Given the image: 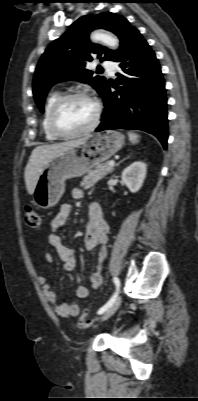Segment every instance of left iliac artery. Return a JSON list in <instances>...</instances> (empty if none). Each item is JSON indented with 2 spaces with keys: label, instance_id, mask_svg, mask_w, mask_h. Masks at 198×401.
Here are the masks:
<instances>
[{
  "label": "left iliac artery",
  "instance_id": "left-iliac-artery-1",
  "mask_svg": "<svg viewBox=\"0 0 198 401\" xmlns=\"http://www.w3.org/2000/svg\"><path fill=\"white\" fill-rule=\"evenodd\" d=\"M113 282L115 284L116 291H115L114 295L110 298V300L98 310L97 313L99 315L103 314L114 303V301L116 300V298L118 296L119 289H120V280H119V278L114 277Z\"/></svg>",
  "mask_w": 198,
  "mask_h": 401
}]
</instances>
